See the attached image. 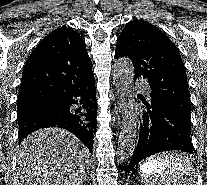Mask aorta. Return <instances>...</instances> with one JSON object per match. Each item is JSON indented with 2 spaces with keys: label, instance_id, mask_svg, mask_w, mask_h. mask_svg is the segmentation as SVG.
Returning a JSON list of instances; mask_svg holds the SVG:
<instances>
[{
  "label": "aorta",
  "instance_id": "aorta-1",
  "mask_svg": "<svg viewBox=\"0 0 207 185\" xmlns=\"http://www.w3.org/2000/svg\"><path fill=\"white\" fill-rule=\"evenodd\" d=\"M113 78L122 105V125L116 155L118 161L123 163L133 155L138 129L134 111V67L129 58H120L115 62Z\"/></svg>",
  "mask_w": 207,
  "mask_h": 185
}]
</instances>
